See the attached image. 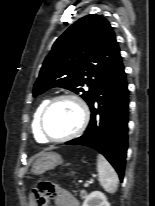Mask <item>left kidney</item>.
<instances>
[{
  "mask_svg": "<svg viewBox=\"0 0 155 206\" xmlns=\"http://www.w3.org/2000/svg\"><path fill=\"white\" fill-rule=\"evenodd\" d=\"M82 206H110L104 193L93 191L84 200Z\"/></svg>",
  "mask_w": 155,
  "mask_h": 206,
  "instance_id": "5707ae66",
  "label": "left kidney"
}]
</instances>
